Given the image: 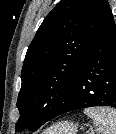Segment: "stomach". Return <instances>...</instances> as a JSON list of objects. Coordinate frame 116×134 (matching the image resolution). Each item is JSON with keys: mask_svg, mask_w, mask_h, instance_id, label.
<instances>
[{"mask_svg": "<svg viewBox=\"0 0 116 134\" xmlns=\"http://www.w3.org/2000/svg\"><path fill=\"white\" fill-rule=\"evenodd\" d=\"M78 125L73 122H59L46 129L42 134H77Z\"/></svg>", "mask_w": 116, "mask_h": 134, "instance_id": "1", "label": "stomach"}]
</instances>
